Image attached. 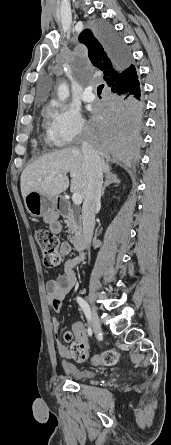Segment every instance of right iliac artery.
Listing matches in <instances>:
<instances>
[{
  "mask_svg": "<svg viewBox=\"0 0 171 445\" xmlns=\"http://www.w3.org/2000/svg\"><path fill=\"white\" fill-rule=\"evenodd\" d=\"M76 300H77V303L81 306V308H82L86 318L88 320H90V309H89V306L86 303V301L83 298H81V297H77ZM87 332H88L89 336H92L93 332H92V329H91L90 326L88 327Z\"/></svg>",
  "mask_w": 171,
  "mask_h": 445,
  "instance_id": "right-iliac-artery-1",
  "label": "right iliac artery"
}]
</instances>
